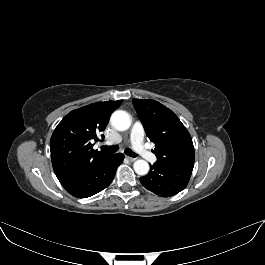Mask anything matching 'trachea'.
<instances>
[{
	"label": "trachea",
	"mask_w": 265,
	"mask_h": 265,
	"mask_svg": "<svg viewBox=\"0 0 265 265\" xmlns=\"http://www.w3.org/2000/svg\"><path fill=\"white\" fill-rule=\"evenodd\" d=\"M104 151H106L107 153H115L118 150L117 146H102L101 147ZM125 154L130 156V157H137L138 155L136 153H134L131 149H125L124 150Z\"/></svg>",
	"instance_id": "obj_1"
}]
</instances>
